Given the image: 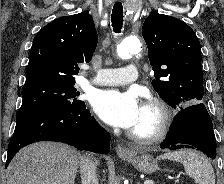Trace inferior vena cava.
I'll return each mask as SVG.
<instances>
[{
  "label": "inferior vena cava",
  "mask_w": 224,
  "mask_h": 184,
  "mask_svg": "<svg viewBox=\"0 0 224 184\" xmlns=\"http://www.w3.org/2000/svg\"><path fill=\"white\" fill-rule=\"evenodd\" d=\"M80 174L82 184H99L97 178L96 161L89 155H82L80 159Z\"/></svg>",
  "instance_id": "inferior-vena-cava-1"
}]
</instances>
